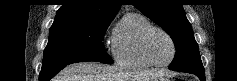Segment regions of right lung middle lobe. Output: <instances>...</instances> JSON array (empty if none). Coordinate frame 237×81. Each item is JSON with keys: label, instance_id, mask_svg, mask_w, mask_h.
Here are the masks:
<instances>
[{"label": "right lung middle lobe", "instance_id": "obj_1", "mask_svg": "<svg viewBox=\"0 0 237 81\" xmlns=\"http://www.w3.org/2000/svg\"><path fill=\"white\" fill-rule=\"evenodd\" d=\"M111 21L76 17L55 19L44 50L43 63L87 60L112 64L113 60L102 42Z\"/></svg>", "mask_w": 237, "mask_h": 81}]
</instances>
